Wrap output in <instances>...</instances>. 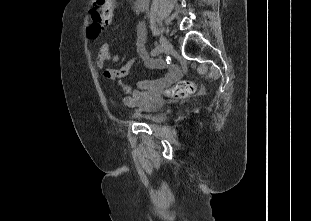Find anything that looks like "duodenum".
I'll list each match as a JSON object with an SVG mask.
<instances>
[{"label":"duodenum","instance_id":"1","mask_svg":"<svg viewBox=\"0 0 311 221\" xmlns=\"http://www.w3.org/2000/svg\"><path fill=\"white\" fill-rule=\"evenodd\" d=\"M150 3V0H135V7L137 10L144 9L148 4Z\"/></svg>","mask_w":311,"mask_h":221}]
</instances>
